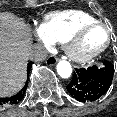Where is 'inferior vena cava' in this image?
Segmentation results:
<instances>
[{
	"mask_svg": "<svg viewBox=\"0 0 117 117\" xmlns=\"http://www.w3.org/2000/svg\"><path fill=\"white\" fill-rule=\"evenodd\" d=\"M28 56L36 62L44 61L47 58V51L43 45L36 44L29 49Z\"/></svg>",
	"mask_w": 117,
	"mask_h": 117,
	"instance_id": "602c4592",
	"label": "inferior vena cava"
}]
</instances>
